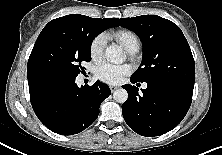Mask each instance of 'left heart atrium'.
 <instances>
[{
  "mask_svg": "<svg viewBox=\"0 0 222 155\" xmlns=\"http://www.w3.org/2000/svg\"><path fill=\"white\" fill-rule=\"evenodd\" d=\"M130 72L131 67L127 64L116 65L104 62L97 67L96 76L105 83L117 84Z\"/></svg>",
  "mask_w": 222,
  "mask_h": 155,
  "instance_id": "obj_1",
  "label": "left heart atrium"
}]
</instances>
